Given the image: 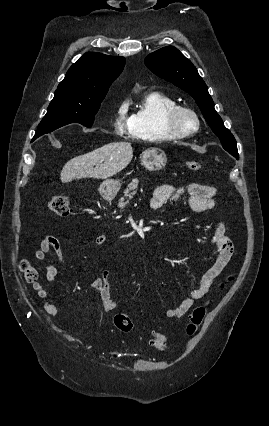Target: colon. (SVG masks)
I'll list each match as a JSON object with an SVG mask.
<instances>
[{
	"mask_svg": "<svg viewBox=\"0 0 269 426\" xmlns=\"http://www.w3.org/2000/svg\"><path fill=\"white\" fill-rule=\"evenodd\" d=\"M187 167L193 172H200L202 170L201 163L196 160L187 161ZM49 208L55 215L61 218H68L72 214L69 198L64 195H53L49 201ZM20 270L27 282L33 283L38 280V271L28 261L25 260L21 263ZM205 313V306H198L194 309L190 323L187 326V333L189 335L193 334L202 323ZM113 321L115 327L121 332H130L133 329L131 318L123 313H117ZM150 344L156 349H164L167 345V339L163 334L156 333L151 338Z\"/></svg>",
	"mask_w": 269,
	"mask_h": 426,
	"instance_id": "obj_1",
	"label": "colon"
}]
</instances>
